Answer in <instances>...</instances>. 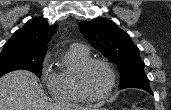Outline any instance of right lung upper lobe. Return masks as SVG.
<instances>
[{
	"mask_svg": "<svg viewBox=\"0 0 171 110\" xmlns=\"http://www.w3.org/2000/svg\"><path fill=\"white\" fill-rule=\"evenodd\" d=\"M57 28L58 25L50 26L42 18L31 19L13 34L4 47H16L24 52L45 55L47 43Z\"/></svg>",
	"mask_w": 171,
	"mask_h": 110,
	"instance_id": "cb5924a9",
	"label": "right lung upper lobe"
}]
</instances>
